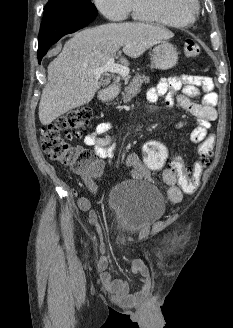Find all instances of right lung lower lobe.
<instances>
[{
	"mask_svg": "<svg viewBox=\"0 0 233 328\" xmlns=\"http://www.w3.org/2000/svg\"><path fill=\"white\" fill-rule=\"evenodd\" d=\"M96 15L97 12L45 11L38 38V62L52 44L64 35L85 27Z\"/></svg>",
	"mask_w": 233,
	"mask_h": 328,
	"instance_id": "98d812e1",
	"label": "right lung lower lobe"
}]
</instances>
